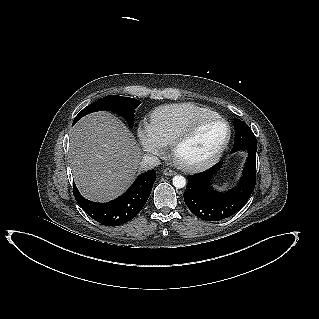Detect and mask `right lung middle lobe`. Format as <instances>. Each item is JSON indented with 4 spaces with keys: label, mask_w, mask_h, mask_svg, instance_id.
I'll list each match as a JSON object with an SVG mask.
<instances>
[{
    "label": "right lung middle lobe",
    "mask_w": 319,
    "mask_h": 319,
    "mask_svg": "<svg viewBox=\"0 0 319 319\" xmlns=\"http://www.w3.org/2000/svg\"><path fill=\"white\" fill-rule=\"evenodd\" d=\"M140 103L141 101L134 98L109 95L85 107L75 117L73 124L89 113L101 110H109L123 116L128 121L130 126L133 127L134 111L140 105Z\"/></svg>",
    "instance_id": "1"
}]
</instances>
